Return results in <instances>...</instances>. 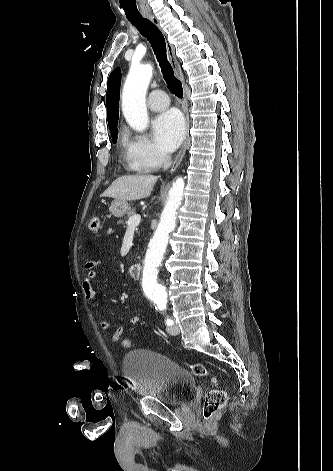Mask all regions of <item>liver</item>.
Instances as JSON below:
<instances>
[{
	"instance_id": "1",
	"label": "liver",
	"mask_w": 333,
	"mask_h": 471,
	"mask_svg": "<svg viewBox=\"0 0 333 471\" xmlns=\"http://www.w3.org/2000/svg\"><path fill=\"white\" fill-rule=\"evenodd\" d=\"M157 177L153 175H125L112 182L102 194L122 201H132L150 196Z\"/></svg>"
}]
</instances>
